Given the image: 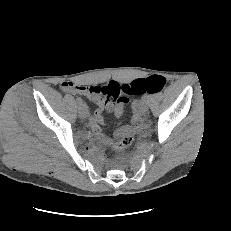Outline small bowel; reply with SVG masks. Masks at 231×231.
<instances>
[{"mask_svg": "<svg viewBox=\"0 0 231 231\" xmlns=\"http://www.w3.org/2000/svg\"><path fill=\"white\" fill-rule=\"evenodd\" d=\"M110 83H117V82H110ZM108 85L84 86V85H77L68 81H65L61 84V88L63 91L72 94L85 95L88 98L92 99L98 105L97 109L91 115L89 122L94 134L97 136L99 141L103 144H110L112 142V140L106 136V134L104 133L101 127L104 122L105 114L112 113L116 117H121L124 114L125 105L129 102V99L125 97H121L117 100H113L109 98L105 90ZM135 123L137 124V113L135 114ZM128 130L132 131V128L127 126L118 128L115 132V137H120L123 133H125Z\"/></svg>", "mask_w": 231, "mask_h": 231, "instance_id": "c3829d8e", "label": "small bowel"}]
</instances>
